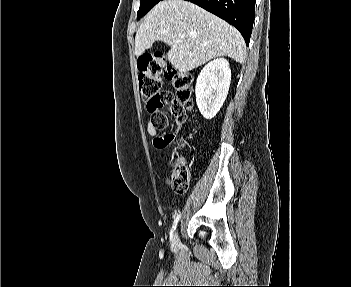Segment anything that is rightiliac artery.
Segmentation results:
<instances>
[{"label": "right iliac artery", "instance_id": "obj_1", "mask_svg": "<svg viewBox=\"0 0 351 287\" xmlns=\"http://www.w3.org/2000/svg\"><path fill=\"white\" fill-rule=\"evenodd\" d=\"M180 214H177L176 216H175V218H174V222H173V225H172V229H171V239H172V237H173V232H174V230L176 229V225H177V223H178V221H179V219H180Z\"/></svg>", "mask_w": 351, "mask_h": 287}]
</instances>
